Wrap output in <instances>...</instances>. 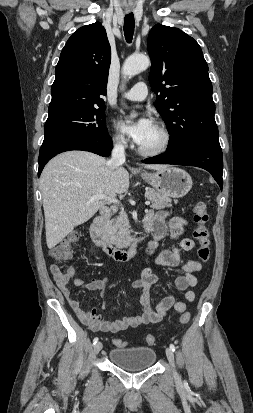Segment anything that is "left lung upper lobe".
<instances>
[{
	"label": "left lung upper lobe",
	"instance_id": "left-lung-upper-lobe-1",
	"mask_svg": "<svg viewBox=\"0 0 253 413\" xmlns=\"http://www.w3.org/2000/svg\"><path fill=\"white\" fill-rule=\"evenodd\" d=\"M155 107L170 133L168 151L219 144L208 65L199 44L178 28L155 25L148 36Z\"/></svg>",
	"mask_w": 253,
	"mask_h": 413
}]
</instances>
